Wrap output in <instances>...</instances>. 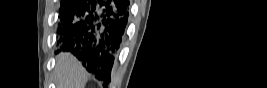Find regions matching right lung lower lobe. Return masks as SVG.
Listing matches in <instances>:
<instances>
[{"instance_id": "right-lung-lower-lobe-1", "label": "right lung lower lobe", "mask_w": 267, "mask_h": 88, "mask_svg": "<svg viewBox=\"0 0 267 88\" xmlns=\"http://www.w3.org/2000/svg\"><path fill=\"white\" fill-rule=\"evenodd\" d=\"M61 50L76 54L96 78L109 82L123 40L129 0H72L60 9Z\"/></svg>"}]
</instances>
